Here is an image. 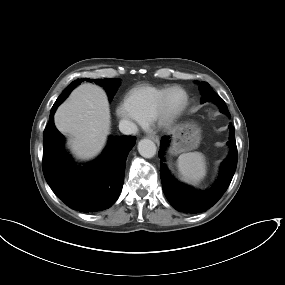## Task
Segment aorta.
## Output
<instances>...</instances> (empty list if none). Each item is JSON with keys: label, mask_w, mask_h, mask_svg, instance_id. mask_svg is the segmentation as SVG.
I'll return each mask as SVG.
<instances>
[{"label": "aorta", "mask_w": 285, "mask_h": 285, "mask_svg": "<svg viewBox=\"0 0 285 285\" xmlns=\"http://www.w3.org/2000/svg\"><path fill=\"white\" fill-rule=\"evenodd\" d=\"M157 147L150 139H142L138 143V152L144 158H152L155 156Z\"/></svg>", "instance_id": "762f6f07"}]
</instances>
